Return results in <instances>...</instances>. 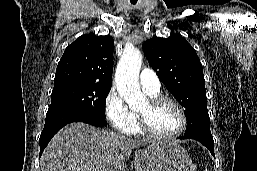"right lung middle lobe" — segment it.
<instances>
[{
	"label": "right lung middle lobe",
	"instance_id": "obj_1",
	"mask_svg": "<svg viewBox=\"0 0 257 171\" xmlns=\"http://www.w3.org/2000/svg\"><path fill=\"white\" fill-rule=\"evenodd\" d=\"M111 85L74 83L54 88L47 112L80 109L105 119L106 97Z\"/></svg>",
	"mask_w": 257,
	"mask_h": 171
}]
</instances>
